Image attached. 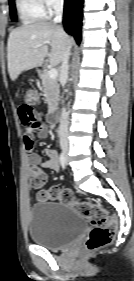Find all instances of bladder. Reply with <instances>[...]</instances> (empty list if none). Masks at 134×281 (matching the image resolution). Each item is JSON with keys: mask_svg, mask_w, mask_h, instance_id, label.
I'll return each instance as SVG.
<instances>
[{"mask_svg": "<svg viewBox=\"0 0 134 281\" xmlns=\"http://www.w3.org/2000/svg\"><path fill=\"white\" fill-rule=\"evenodd\" d=\"M86 229V218L71 206L46 201L33 204L29 210V236L45 248H64Z\"/></svg>", "mask_w": 134, "mask_h": 281, "instance_id": "bladder-1", "label": "bladder"}]
</instances>
